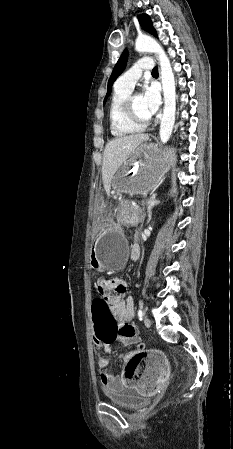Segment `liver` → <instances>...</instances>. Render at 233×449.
I'll return each instance as SVG.
<instances>
[{"instance_id": "obj_1", "label": "liver", "mask_w": 233, "mask_h": 449, "mask_svg": "<svg viewBox=\"0 0 233 449\" xmlns=\"http://www.w3.org/2000/svg\"><path fill=\"white\" fill-rule=\"evenodd\" d=\"M148 139V134H135L117 137L106 144L103 153L102 180L107 195L111 193V183L115 173Z\"/></svg>"}]
</instances>
